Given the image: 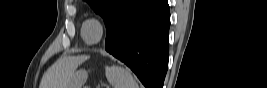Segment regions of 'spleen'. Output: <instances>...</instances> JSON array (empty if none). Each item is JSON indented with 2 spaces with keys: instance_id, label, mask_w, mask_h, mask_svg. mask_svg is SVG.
Wrapping results in <instances>:
<instances>
[{
  "instance_id": "obj_1",
  "label": "spleen",
  "mask_w": 267,
  "mask_h": 88,
  "mask_svg": "<svg viewBox=\"0 0 267 88\" xmlns=\"http://www.w3.org/2000/svg\"><path fill=\"white\" fill-rule=\"evenodd\" d=\"M105 75L113 88H139L130 71L122 66H106Z\"/></svg>"
}]
</instances>
